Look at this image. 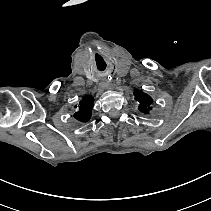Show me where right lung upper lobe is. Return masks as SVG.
<instances>
[{
    "mask_svg": "<svg viewBox=\"0 0 211 211\" xmlns=\"http://www.w3.org/2000/svg\"><path fill=\"white\" fill-rule=\"evenodd\" d=\"M93 104L94 98L92 96H84L78 105V111L74 114V117L78 121L87 122L91 118V110L93 108Z\"/></svg>",
    "mask_w": 211,
    "mask_h": 211,
    "instance_id": "obj_1",
    "label": "right lung upper lobe"
}]
</instances>
